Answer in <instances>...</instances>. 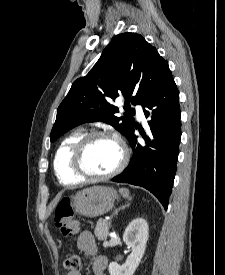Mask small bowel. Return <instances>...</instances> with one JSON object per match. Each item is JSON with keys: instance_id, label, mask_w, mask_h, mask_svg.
<instances>
[{"instance_id": "obj_1", "label": "small bowel", "mask_w": 225, "mask_h": 275, "mask_svg": "<svg viewBox=\"0 0 225 275\" xmlns=\"http://www.w3.org/2000/svg\"><path fill=\"white\" fill-rule=\"evenodd\" d=\"M79 250L92 257V271L94 275H106L107 259L98 254V246L91 232H82L77 240ZM66 275H81L79 271H69Z\"/></svg>"}]
</instances>
